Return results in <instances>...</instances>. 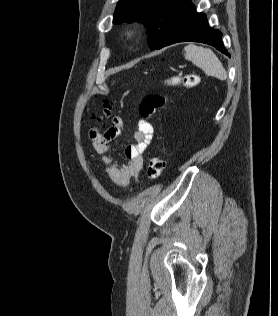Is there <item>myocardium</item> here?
I'll list each match as a JSON object with an SVG mask.
<instances>
[{
    "instance_id": "1",
    "label": "myocardium",
    "mask_w": 278,
    "mask_h": 316,
    "mask_svg": "<svg viewBox=\"0 0 278 316\" xmlns=\"http://www.w3.org/2000/svg\"><path fill=\"white\" fill-rule=\"evenodd\" d=\"M138 34V29L136 27L130 26L124 31V35L128 39L136 37Z\"/></svg>"
}]
</instances>
